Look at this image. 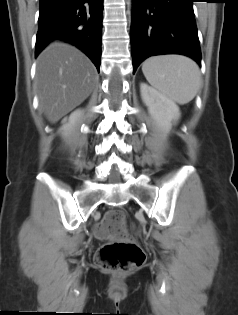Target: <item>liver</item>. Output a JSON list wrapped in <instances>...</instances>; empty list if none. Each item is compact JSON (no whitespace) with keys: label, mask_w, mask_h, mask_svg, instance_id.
I'll return each instance as SVG.
<instances>
[{"label":"liver","mask_w":238,"mask_h":315,"mask_svg":"<svg viewBox=\"0 0 238 315\" xmlns=\"http://www.w3.org/2000/svg\"><path fill=\"white\" fill-rule=\"evenodd\" d=\"M97 71L76 47L54 41L37 59L36 82L40 106L51 123L80 105L92 92Z\"/></svg>","instance_id":"liver-1"}]
</instances>
